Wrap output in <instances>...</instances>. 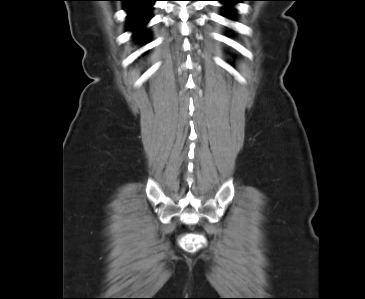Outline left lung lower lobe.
Segmentation results:
<instances>
[{"label": "left lung lower lobe", "instance_id": "1", "mask_svg": "<svg viewBox=\"0 0 365 299\" xmlns=\"http://www.w3.org/2000/svg\"><path fill=\"white\" fill-rule=\"evenodd\" d=\"M217 1L224 3L226 5L225 6L226 9H230L231 5H233L239 1H246V0H217Z\"/></svg>", "mask_w": 365, "mask_h": 299}]
</instances>
